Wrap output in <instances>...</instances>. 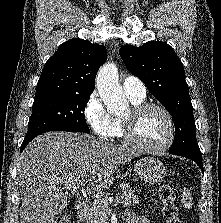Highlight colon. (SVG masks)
Listing matches in <instances>:
<instances>
[{
    "mask_svg": "<svg viewBox=\"0 0 221 223\" xmlns=\"http://www.w3.org/2000/svg\"><path fill=\"white\" fill-rule=\"evenodd\" d=\"M159 199L162 205V214L165 223H182L179 216V209L175 204V192L171 184L164 183L159 188ZM58 223H72L71 219L63 216Z\"/></svg>",
    "mask_w": 221,
    "mask_h": 223,
    "instance_id": "obj_1",
    "label": "colon"
}]
</instances>
